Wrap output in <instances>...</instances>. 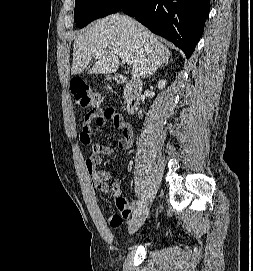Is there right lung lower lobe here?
<instances>
[{"label":"right lung lower lobe","instance_id":"obj_1","mask_svg":"<svg viewBox=\"0 0 253 271\" xmlns=\"http://www.w3.org/2000/svg\"><path fill=\"white\" fill-rule=\"evenodd\" d=\"M120 11L173 42L189 58L203 33L210 0H127Z\"/></svg>","mask_w":253,"mask_h":271}]
</instances>
